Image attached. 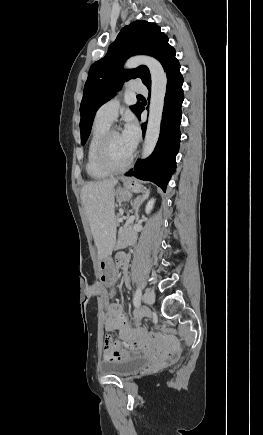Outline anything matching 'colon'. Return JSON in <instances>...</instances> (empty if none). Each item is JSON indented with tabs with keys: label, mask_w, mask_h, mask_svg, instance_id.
I'll return each mask as SVG.
<instances>
[{
	"label": "colon",
	"mask_w": 263,
	"mask_h": 435,
	"mask_svg": "<svg viewBox=\"0 0 263 435\" xmlns=\"http://www.w3.org/2000/svg\"><path fill=\"white\" fill-rule=\"evenodd\" d=\"M158 332H165L168 335H176L178 332L176 330H169L163 324H155L153 326ZM112 335H107L106 338L103 339L102 348L104 350H111L113 348L114 340L112 339ZM125 341L119 340V343H124Z\"/></svg>",
	"instance_id": "1"
}]
</instances>
